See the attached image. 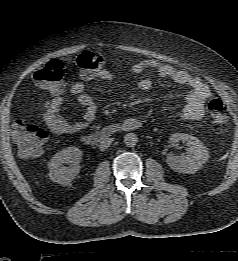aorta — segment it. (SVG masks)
Masks as SVG:
<instances>
[{
	"instance_id": "1",
	"label": "aorta",
	"mask_w": 238,
	"mask_h": 261,
	"mask_svg": "<svg viewBox=\"0 0 238 261\" xmlns=\"http://www.w3.org/2000/svg\"><path fill=\"white\" fill-rule=\"evenodd\" d=\"M138 142V137L135 133H127L124 136V143L127 147H134Z\"/></svg>"
}]
</instances>
